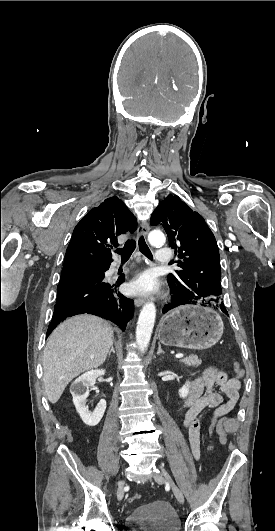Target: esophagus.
<instances>
[{
    "label": "esophagus",
    "instance_id": "34e87169",
    "mask_svg": "<svg viewBox=\"0 0 275 531\" xmlns=\"http://www.w3.org/2000/svg\"><path fill=\"white\" fill-rule=\"evenodd\" d=\"M149 230V224L146 221L142 222L137 229L138 238H140L141 236H146ZM145 302L146 298L144 296H139L135 298V304L137 307L142 306Z\"/></svg>",
    "mask_w": 275,
    "mask_h": 531
}]
</instances>
